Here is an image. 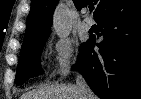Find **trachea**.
<instances>
[{
	"mask_svg": "<svg viewBox=\"0 0 141 99\" xmlns=\"http://www.w3.org/2000/svg\"><path fill=\"white\" fill-rule=\"evenodd\" d=\"M89 9H90V11L92 12L93 11V9H94V7L92 6V7H89Z\"/></svg>",
	"mask_w": 141,
	"mask_h": 99,
	"instance_id": "trachea-1",
	"label": "trachea"
}]
</instances>
